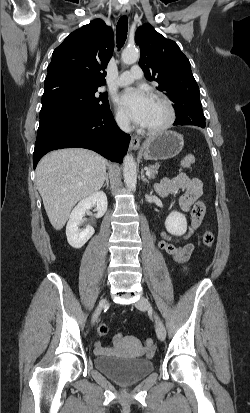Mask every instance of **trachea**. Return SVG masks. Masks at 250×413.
Here are the masks:
<instances>
[{
  "label": "trachea",
  "mask_w": 250,
  "mask_h": 413,
  "mask_svg": "<svg viewBox=\"0 0 250 413\" xmlns=\"http://www.w3.org/2000/svg\"><path fill=\"white\" fill-rule=\"evenodd\" d=\"M127 31H128V18L127 16H122L116 27V40H117V48L120 49L127 38Z\"/></svg>",
  "instance_id": "3493384b"
}]
</instances>
